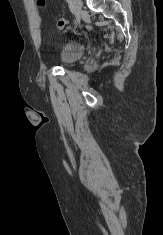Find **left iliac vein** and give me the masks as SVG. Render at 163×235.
<instances>
[{"label": "left iliac vein", "mask_w": 163, "mask_h": 235, "mask_svg": "<svg viewBox=\"0 0 163 235\" xmlns=\"http://www.w3.org/2000/svg\"><path fill=\"white\" fill-rule=\"evenodd\" d=\"M75 11L80 14L82 10V0H72Z\"/></svg>", "instance_id": "left-iliac-vein-1"}]
</instances>
